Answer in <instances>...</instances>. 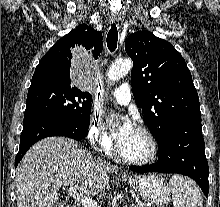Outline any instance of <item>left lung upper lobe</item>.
<instances>
[{
  "label": "left lung upper lobe",
  "mask_w": 220,
  "mask_h": 207,
  "mask_svg": "<svg viewBox=\"0 0 220 207\" xmlns=\"http://www.w3.org/2000/svg\"><path fill=\"white\" fill-rule=\"evenodd\" d=\"M125 50L133 60L134 98L157 141L175 124L201 117L191 73L171 43L142 30L127 38Z\"/></svg>",
  "instance_id": "left-lung-upper-lobe-1"
}]
</instances>
